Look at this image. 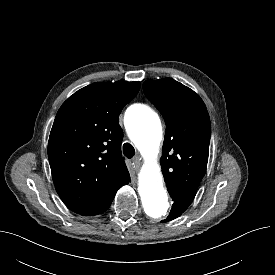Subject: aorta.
Masks as SVG:
<instances>
[{
	"mask_svg": "<svg viewBox=\"0 0 275 275\" xmlns=\"http://www.w3.org/2000/svg\"><path fill=\"white\" fill-rule=\"evenodd\" d=\"M126 128L146 161L138 187L144 212L152 220H162L168 215L170 204L156 161L163 133L160 117L150 107L136 104L126 112Z\"/></svg>",
	"mask_w": 275,
	"mask_h": 275,
	"instance_id": "1",
	"label": "aorta"
}]
</instances>
